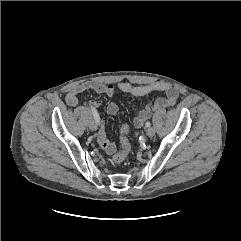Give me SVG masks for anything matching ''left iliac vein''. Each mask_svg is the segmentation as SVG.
Masks as SVG:
<instances>
[{
	"label": "left iliac vein",
	"mask_w": 241,
	"mask_h": 241,
	"mask_svg": "<svg viewBox=\"0 0 241 241\" xmlns=\"http://www.w3.org/2000/svg\"><path fill=\"white\" fill-rule=\"evenodd\" d=\"M146 134L148 137H153L155 135V129L153 127H148L146 129Z\"/></svg>",
	"instance_id": "obj_1"
}]
</instances>
